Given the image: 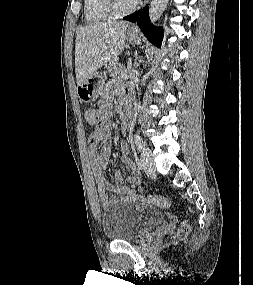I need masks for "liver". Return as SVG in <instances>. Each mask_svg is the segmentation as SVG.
<instances>
[{"mask_svg": "<svg viewBox=\"0 0 253 285\" xmlns=\"http://www.w3.org/2000/svg\"><path fill=\"white\" fill-rule=\"evenodd\" d=\"M127 28L126 22H102L78 30L75 43L77 85L83 84L124 50Z\"/></svg>", "mask_w": 253, "mask_h": 285, "instance_id": "1", "label": "liver"}]
</instances>
